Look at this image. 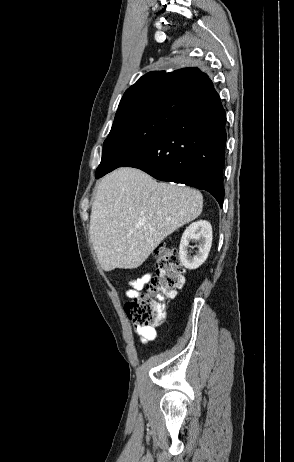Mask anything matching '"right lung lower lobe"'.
Here are the masks:
<instances>
[{"label":"right lung lower lobe","mask_w":294,"mask_h":462,"mask_svg":"<svg viewBox=\"0 0 294 462\" xmlns=\"http://www.w3.org/2000/svg\"><path fill=\"white\" fill-rule=\"evenodd\" d=\"M184 97L187 104L175 119L122 166L139 168L162 181L204 189L222 207L225 111L213 85L204 93Z\"/></svg>","instance_id":"98d812e1"}]
</instances>
